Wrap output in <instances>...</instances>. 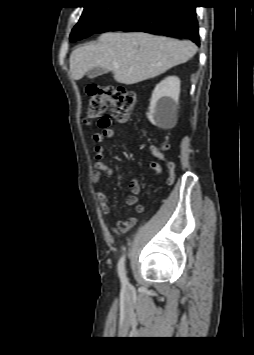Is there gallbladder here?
Returning a JSON list of instances; mask_svg holds the SVG:
<instances>
[{
  "label": "gallbladder",
  "mask_w": 254,
  "mask_h": 355,
  "mask_svg": "<svg viewBox=\"0 0 254 355\" xmlns=\"http://www.w3.org/2000/svg\"><path fill=\"white\" fill-rule=\"evenodd\" d=\"M107 72H108V70L105 68L94 67L88 72L87 76H88V78L93 79V78H96V77L103 75L104 73H107Z\"/></svg>",
  "instance_id": "gallbladder-1"
}]
</instances>
